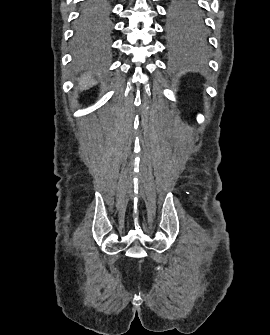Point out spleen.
I'll use <instances>...</instances> for the list:
<instances>
[{
  "label": "spleen",
  "mask_w": 270,
  "mask_h": 335,
  "mask_svg": "<svg viewBox=\"0 0 270 335\" xmlns=\"http://www.w3.org/2000/svg\"><path fill=\"white\" fill-rule=\"evenodd\" d=\"M188 60H190V62H195V60H196L195 54H191V56H189Z\"/></svg>",
  "instance_id": "obj_1"
}]
</instances>
